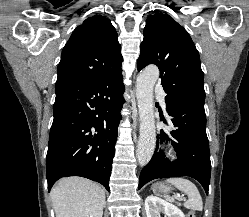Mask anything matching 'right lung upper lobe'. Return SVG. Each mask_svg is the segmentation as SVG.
Wrapping results in <instances>:
<instances>
[{"label": "right lung upper lobe", "instance_id": "right-lung-upper-lobe-1", "mask_svg": "<svg viewBox=\"0 0 249 217\" xmlns=\"http://www.w3.org/2000/svg\"><path fill=\"white\" fill-rule=\"evenodd\" d=\"M120 49L109 19L101 15L87 18L62 50L56 84L96 82L122 71Z\"/></svg>", "mask_w": 249, "mask_h": 217}]
</instances>
